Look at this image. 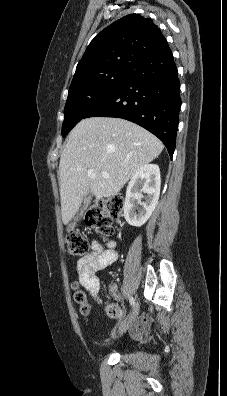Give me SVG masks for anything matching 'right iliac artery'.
<instances>
[{"mask_svg":"<svg viewBox=\"0 0 227 396\" xmlns=\"http://www.w3.org/2000/svg\"><path fill=\"white\" fill-rule=\"evenodd\" d=\"M129 302H130V305H131L132 307L135 306V299H134L133 297H130V298H129Z\"/></svg>","mask_w":227,"mask_h":396,"instance_id":"obj_1","label":"right iliac artery"}]
</instances>
